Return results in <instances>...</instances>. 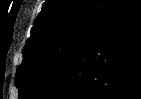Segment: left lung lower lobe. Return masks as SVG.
Segmentation results:
<instances>
[{"instance_id":"1","label":"left lung lower lobe","mask_w":141,"mask_h":99,"mask_svg":"<svg viewBox=\"0 0 141 99\" xmlns=\"http://www.w3.org/2000/svg\"><path fill=\"white\" fill-rule=\"evenodd\" d=\"M37 99H141L140 0H122Z\"/></svg>"}]
</instances>
